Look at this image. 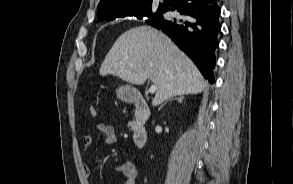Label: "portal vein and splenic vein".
<instances>
[{
	"instance_id": "obj_1",
	"label": "portal vein and splenic vein",
	"mask_w": 293,
	"mask_h": 184,
	"mask_svg": "<svg viewBox=\"0 0 293 184\" xmlns=\"http://www.w3.org/2000/svg\"><path fill=\"white\" fill-rule=\"evenodd\" d=\"M156 91H157V85H155V84L151 85L150 88H149V93L153 94Z\"/></svg>"
}]
</instances>
